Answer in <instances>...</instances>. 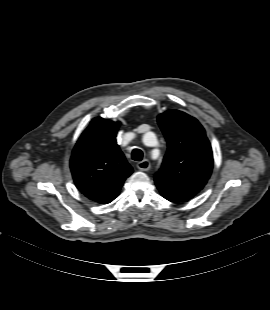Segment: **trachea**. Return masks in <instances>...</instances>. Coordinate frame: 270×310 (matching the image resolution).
Returning a JSON list of instances; mask_svg holds the SVG:
<instances>
[{
  "label": "trachea",
  "instance_id": "trachea-1",
  "mask_svg": "<svg viewBox=\"0 0 270 310\" xmlns=\"http://www.w3.org/2000/svg\"><path fill=\"white\" fill-rule=\"evenodd\" d=\"M131 157L134 161H141L143 159V152L140 149H133Z\"/></svg>",
  "mask_w": 270,
  "mask_h": 310
}]
</instances>
